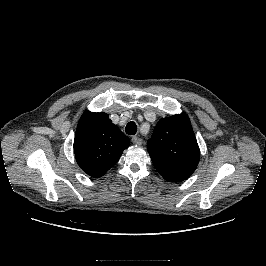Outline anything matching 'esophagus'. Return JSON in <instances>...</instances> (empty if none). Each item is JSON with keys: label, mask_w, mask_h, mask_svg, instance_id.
I'll return each mask as SVG.
<instances>
[{"label": "esophagus", "mask_w": 266, "mask_h": 266, "mask_svg": "<svg viewBox=\"0 0 266 266\" xmlns=\"http://www.w3.org/2000/svg\"><path fill=\"white\" fill-rule=\"evenodd\" d=\"M132 143L135 145H141L142 144V139L136 136H133L131 139Z\"/></svg>", "instance_id": "obj_1"}]
</instances>
